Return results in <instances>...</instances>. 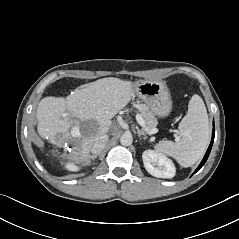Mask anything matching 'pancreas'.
I'll use <instances>...</instances> for the list:
<instances>
[{
    "mask_svg": "<svg viewBox=\"0 0 239 239\" xmlns=\"http://www.w3.org/2000/svg\"><path fill=\"white\" fill-rule=\"evenodd\" d=\"M137 109L139 110L140 116L144 119L147 127L149 129H154L158 122L154 114L149 110L148 106L145 104H139L137 105Z\"/></svg>",
    "mask_w": 239,
    "mask_h": 239,
    "instance_id": "cf45deb5",
    "label": "pancreas"
}]
</instances>
